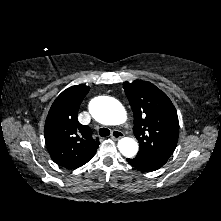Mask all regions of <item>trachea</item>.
<instances>
[{
    "label": "trachea",
    "mask_w": 221,
    "mask_h": 221,
    "mask_svg": "<svg viewBox=\"0 0 221 221\" xmlns=\"http://www.w3.org/2000/svg\"><path fill=\"white\" fill-rule=\"evenodd\" d=\"M99 134L101 137H106L110 135V130L107 128H101L99 129Z\"/></svg>",
    "instance_id": "1"
}]
</instances>
